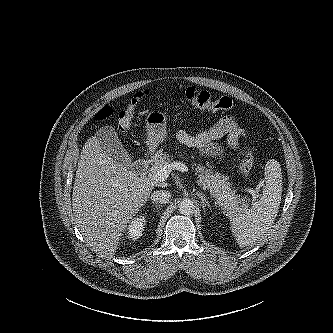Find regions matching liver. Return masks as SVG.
<instances>
[{
    "mask_svg": "<svg viewBox=\"0 0 333 333\" xmlns=\"http://www.w3.org/2000/svg\"><path fill=\"white\" fill-rule=\"evenodd\" d=\"M154 185L106 155L96 137L82 148L72 194L76 224L96 250L112 257L127 224Z\"/></svg>",
    "mask_w": 333,
    "mask_h": 333,
    "instance_id": "liver-1",
    "label": "liver"
}]
</instances>
